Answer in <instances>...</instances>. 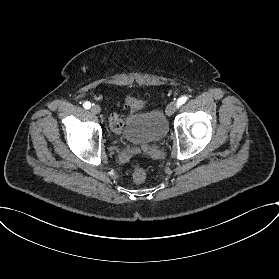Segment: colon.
Masks as SVG:
<instances>
[{
    "label": "colon",
    "instance_id": "5ec220e1",
    "mask_svg": "<svg viewBox=\"0 0 279 279\" xmlns=\"http://www.w3.org/2000/svg\"><path fill=\"white\" fill-rule=\"evenodd\" d=\"M151 105L149 99L139 98V97H126L125 106L128 107L133 112H138L141 109ZM109 124L112 131L120 134L122 131V119L119 115L113 113L109 117ZM128 169L132 175L134 182L142 183L146 178V170L144 159L142 157H134L128 164Z\"/></svg>",
    "mask_w": 279,
    "mask_h": 279
}]
</instances>
